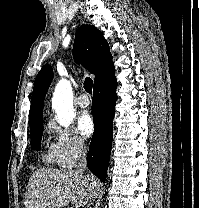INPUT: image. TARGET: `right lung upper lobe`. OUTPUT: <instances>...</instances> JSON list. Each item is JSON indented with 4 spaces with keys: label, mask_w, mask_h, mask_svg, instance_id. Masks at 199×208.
I'll return each mask as SVG.
<instances>
[{
    "label": "right lung upper lobe",
    "mask_w": 199,
    "mask_h": 208,
    "mask_svg": "<svg viewBox=\"0 0 199 208\" xmlns=\"http://www.w3.org/2000/svg\"><path fill=\"white\" fill-rule=\"evenodd\" d=\"M73 56L77 63H81L95 75L94 87L115 79V67L109 45L96 27L82 25L77 30ZM52 79V67L43 66L34 82L29 114L30 130L43 125V103Z\"/></svg>",
    "instance_id": "cb5924a9"
}]
</instances>
